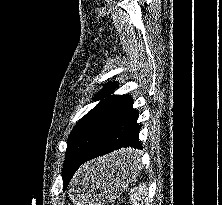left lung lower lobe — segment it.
Returning a JSON list of instances; mask_svg holds the SVG:
<instances>
[{
  "label": "left lung lower lobe",
  "instance_id": "left-lung-lower-lobe-1",
  "mask_svg": "<svg viewBox=\"0 0 222 205\" xmlns=\"http://www.w3.org/2000/svg\"><path fill=\"white\" fill-rule=\"evenodd\" d=\"M137 118L138 111L133 109L131 96L123 95L103 123L87 154L80 159H73L70 162L71 176L63 184V189L65 190L74 173L82 164L115 150L121 149L115 157L114 162L116 164L126 165L136 162L138 156L134 154L132 148L143 149L138 137L141 126L137 123Z\"/></svg>",
  "mask_w": 222,
  "mask_h": 205
}]
</instances>
